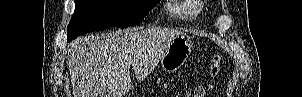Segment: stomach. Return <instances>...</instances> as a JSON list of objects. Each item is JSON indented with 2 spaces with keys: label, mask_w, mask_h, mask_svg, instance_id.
I'll return each instance as SVG.
<instances>
[{
  "label": "stomach",
  "mask_w": 302,
  "mask_h": 97,
  "mask_svg": "<svg viewBox=\"0 0 302 97\" xmlns=\"http://www.w3.org/2000/svg\"><path fill=\"white\" fill-rule=\"evenodd\" d=\"M193 49V42L186 34H180L173 39L161 58V67L166 73L178 70L188 59Z\"/></svg>",
  "instance_id": "obj_1"
}]
</instances>
